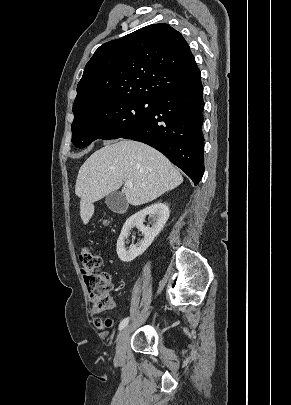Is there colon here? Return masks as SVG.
Masks as SVG:
<instances>
[{"instance_id": "obj_1", "label": "colon", "mask_w": 291, "mask_h": 405, "mask_svg": "<svg viewBox=\"0 0 291 405\" xmlns=\"http://www.w3.org/2000/svg\"><path fill=\"white\" fill-rule=\"evenodd\" d=\"M79 262L94 311L100 313L107 310L111 306V283L109 275L101 270V256L89 248H83L79 254Z\"/></svg>"}]
</instances>
